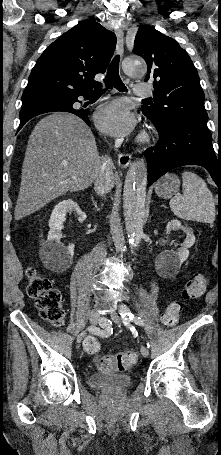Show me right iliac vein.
Instances as JSON below:
<instances>
[{
  "label": "right iliac vein",
  "instance_id": "63e3f726",
  "mask_svg": "<svg viewBox=\"0 0 221 455\" xmlns=\"http://www.w3.org/2000/svg\"><path fill=\"white\" fill-rule=\"evenodd\" d=\"M89 321L92 325H96L99 321V315L96 310H92L89 315ZM86 332H81L77 337V342L80 343L82 339L85 337Z\"/></svg>",
  "mask_w": 221,
  "mask_h": 455
}]
</instances>
